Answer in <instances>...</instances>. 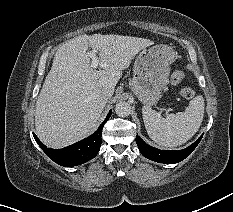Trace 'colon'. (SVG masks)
<instances>
[{"label": "colon", "mask_w": 233, "mask_h": 212, "mask_svg": "<svg viewBox=\"0 0 233 212\" xmlns=\"http://www.w3.org/2000/svg\"><path fill=\"white\" fill-rule=\"evenodd\" d=\"M185 74L182 71H175L172 75H171V84L176 86L178 84H180L182 82V80L184 79ZM180 95L185 98V99H192L195 96V91L190 88V87H185L182 88L179 91Z\"/></svg>", "instance_id": "1"}]
</instances>
